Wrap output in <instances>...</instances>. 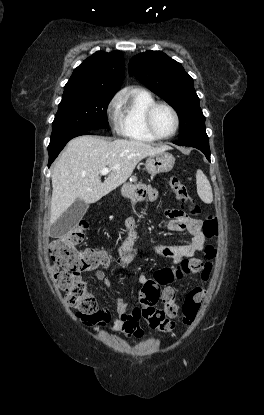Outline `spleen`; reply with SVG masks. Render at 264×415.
<instances>
[{
	"mask_svg": "<svg viewBox=\"0 0 264 415\" xmlns=\"http://www.w3.org/2000/svg\"><path fill=\"white\" fill-rule=\"evenodd\" d=\"M197 193L201 200L210 204L213 201V193L209 180L202 170L198 169L196 172Z\"/></svg>",
	"mask_w": 264,
	"mask_h": 415,
	"instance_id": "1",
	"label": "spleen"
}]
</instances>
